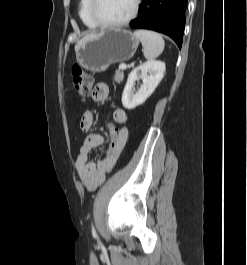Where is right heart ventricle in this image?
I'll use <instances>...</instances> for the list:
<instances>
[{
  "label": "right heart ventricle",
  "mask_w": 247,
  "mask_h": 265,
  "mask_svg": "<svg viewBox=\"0 0 247 265\" xmlns=\"http://www.w3.org/2000/svg\"><path fill=\"white\" fill-rule=\"evenodd\" d=\"M90 0H79V16L84 23L90 29L97 28V24L93 21L90 15Z\"/></svg>",
  "instance_id": "right-heart-ventricle-1"
}]
</instances>
